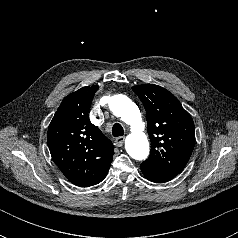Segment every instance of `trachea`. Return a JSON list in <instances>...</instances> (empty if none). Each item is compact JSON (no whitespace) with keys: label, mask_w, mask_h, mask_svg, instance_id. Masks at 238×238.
Segmentation results:
<instances>
[{"label":"trachea","mask_w":238,"mask_h":238,"mask_svg":"<svg viewBox=\"0 0 238 238\" xmlns=\"http://www.w3.org/2000/svg\"><path fill=\"white\" fill-rule=\"evenodd\" d=\"M112 134L114 137H119L124 135V129L119 123H115L112 127Z\"/></svg>","instance_id":"3493384b"}]
</instances>
